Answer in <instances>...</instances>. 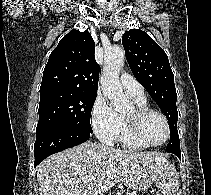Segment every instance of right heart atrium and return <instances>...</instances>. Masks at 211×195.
Returning a JSON list of instances; mask_svg holds the SVG:
<instances>
[{
	"mask_svg": "<svg viewBox=\"0 0 211 195\" xmlns=\"http://www.w3.org/2000/svg\"><path fill=\"white\" fill-rule=\"evenodd\" d=\"M121 117L102 96L96 98L91 112V126L97 137L113 144L120 131Z\"/></svg>",
	"mask_w": 211,
	"mask_h": 195,
	"instance_id": "obj_1",
	"label": "right heart atrium"
}]
</instances>
